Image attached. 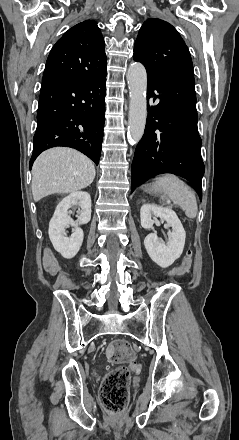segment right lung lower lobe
<instances>
[{"label":"right lung lower lobe","mask_w":239,"mask_h":440,"mask_svg":"<svg viewBox=\"0 0 239 440\" xmlns=\"http://www.w3.org/2000/svg\"><path fill=\"white\" fill-rule=\"evenodd\" d=\"M106 74L91 78L43 83L30 168L46 149H77L96 165L103 141Z\"/></svg>","instance_id":"98d812e1"}]
</instances>
